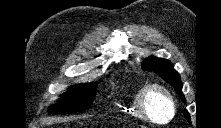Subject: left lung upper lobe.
Masks as SVG:
<instances>
[{"instance_id":"obj_1","label":"left lung upper lobe","mask_w":221,"mask_h":128,"mask_svg":"<svg viewBox=\"0 0 221 128\" xmlns=\"http://www.w3.org/2000/svg\"><path fill=\"white\" fill-rule=\"evenodd\" d=\"M144 70L154 71L159 74L165 81L169 82L178 93L179 97L185 101L182 93V83L179 74L174 70V65L166 59L150 56L142 63ZM186 118L190 121L187 111H184Z\"/></svg>"}]
</instances>
